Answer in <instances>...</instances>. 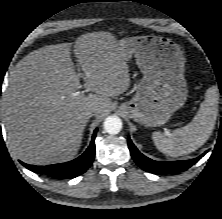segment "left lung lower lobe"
<instances>
[{
	"mask_svg": "<svg viewBox=\"0 0 222 219\" xmlns=\"http://www.w3.org/2000/svg\"><path fill=\"white\" fill-rule=\"evenodd\" d=\"M128 147L132 158L140 168L157 175L178 173L187 170L205 155V153H203L198 158L186 161H155L140 153L136 146L132 143L130 137H128Z\"/></svg>",
	"mask_w": 222,
	"mask_h": 219,
	"instance_id": "left-lung-lower-lobe-1",
	"label": "left lung lower lobe"
}]
</instances>
